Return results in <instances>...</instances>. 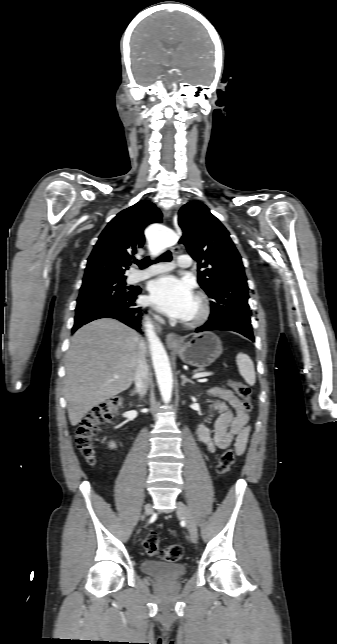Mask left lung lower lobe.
<instances>
[{
    "label": "left lung lower lobe",
    "instance_id": "0a47b994",
    "mask_svg": "<svg viewBox=\"0 0 337 644\" xmlns=\"http://www.w3.org/2000/svg\"><path fill=\"white\" fill-rule=\"evenodd\" d=\"M211 330H221V331H234L244 335L250 340L254 341L253 332L251 330L244 329L235 324H232L223 320H208L203 326L197 328L195 332L211 331Z\"/></svg>",
    "mask_w": 337,
    "mask_h": 644
}]
</instances>
